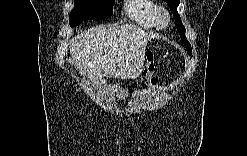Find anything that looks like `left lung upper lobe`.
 Instances as JSON below:
<instances>
[{"instance_id": "obj_1", "label": "left lung upper lobe", "mask_w": 247, "mask_h": 156, "mask_svg": "<svg viewBox=\"0 0 247 156\" xmlns=\"http://www.w3.org/2000/svg\"><path fill=\"white\" fill-rule=\"evenodd\" d=\"M166 3L168 4L171 12L174 15L177 30H178V32L180 34V37H181V40H182L183 44L186 46L187 53L190 55V54H192L191 45L188 42V40L186 39V37H185V28H184V26H183V24L181 22L180 15L177 12V7L179 5V0H166Z\"/></svg>"}]
</instances>
